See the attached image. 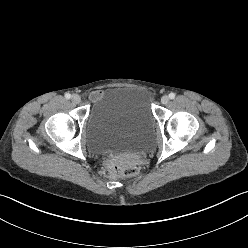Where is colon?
<instances>
[{
    "instance_id": "1",
    "label": "colon",
    "mask_w": 248,
    "mask_h": 248,
    "mask_svg": "<svg viewBox=\"0 0 248 248\" xmlns=\"http://www.w3.org/2000/svg\"><path fill=\"white\" fill-rule=\"evenodd\" d=\"M103 174L111 178H129L137 174V169L132 166L122 165L117 162L107 160L104 164Z\"/></svg>"
}]
</instances>
